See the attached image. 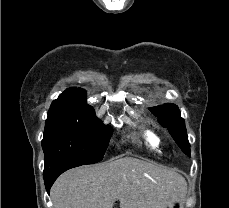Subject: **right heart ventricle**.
<instances>
[{
	"instance_id": "obj_1",
	"label": "right heart ventricle",
	"mask_w": 229,
	"mask_h": 208,
	"mask_svg": "<svg viewBox=\"0 0 229 208\" xmlns=\"http://www.w3.org/2000/svg\"><path fill=\"white\" fill-rule=\"evenodd\" d=\"M138 142L153 156L160 158L164 156L165 145L162 137L150 129H143L138 134Z\"/></svg>"
}]
</instances>
